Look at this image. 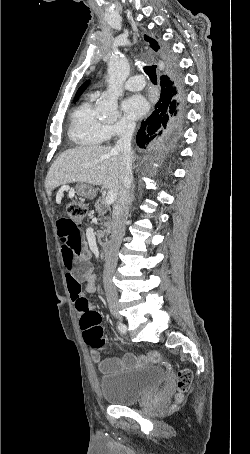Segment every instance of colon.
I'll return each mask as SVG.
<instances>
[{
    "instance_id": "1",
    "label": "colon",
    "mask_w": 250,
    "mask_h": 454,
    "mask_svg": "<svg viewBox=\"0 0 250 454\" xmlns=\"http://www.w3.org/2000/svg\"><path fill=\"white\" fill-rule=\"evenodd\" d=\"M68 219L74 225H80L88 213V206L81 200H72L67 205ZM80 327L83 338L92 350H102L105 347L104 330L101 326V316L94 309L85 310L80 316ZM192 382V373L189 370H181L177 376V385L180 394L186 392ZM181 395L179 396V399Z\"/></svg>"
}]
</instances>
